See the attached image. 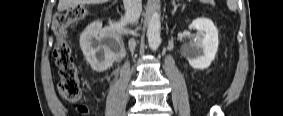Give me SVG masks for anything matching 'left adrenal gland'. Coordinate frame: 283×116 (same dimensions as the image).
<instances>
[{
	"label": "left adrenal gland",
	"instance_id": "a2214340",
	"mask_svg": "<svg viewBox=\"0 0 283 116\" xmlns=\"http://www.w3.org/2000/svg\"><path fill=\"white\" fill-rule=\"evenodd\" d=\"M172 5H173L172 15H174V14H175V12L177 11V9H178L179 5H177V4L175 3V1H173V2H172Z\"/></svg>",
	"mask_w": 283,
	"mask_h": 116
}]
</instances>
